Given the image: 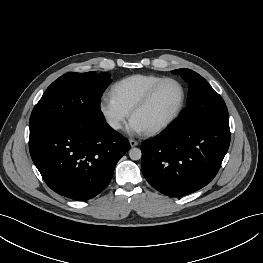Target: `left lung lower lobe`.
I'll return each mask as SVG.
<instances>
[{"mask_svg":"<svg viewBox=\"0 0 263 263\" xmlns=\"http://www.w3.org/2000/svg\"><path fill=\"white\" fill-rule=\"evenodd\" d=\"M229 144V119L209 121L191 131L171 124L142 143L143 175L167 196L193 193L216 176Z\"/></svg>","mask_w":263,"mask_h":263,"instance_id":"obj_1","label":"left lung lower lobe"}]
</instances>
